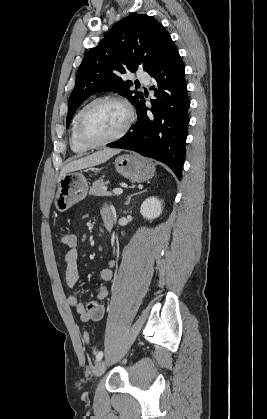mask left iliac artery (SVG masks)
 Instances as JSON below:
<instances>
[{
	"label": "left iliac artery",
	"instance_id": "left-iliac-artery-1",
	"mask_svg": "<svg viewBox=\"0 0 267 419\" xmlns=\"http://www.w3.org/2000/svg\"><path fill=\"white\" fill-rule=\"evenodd\" d=\"M102 357H103V352L102 351L98 352V354L96 355V361L97 362L100 361Z\"/></svg>",
	"mask_w": 267,
	"mask_h": 419
}]
</instances>
